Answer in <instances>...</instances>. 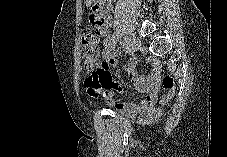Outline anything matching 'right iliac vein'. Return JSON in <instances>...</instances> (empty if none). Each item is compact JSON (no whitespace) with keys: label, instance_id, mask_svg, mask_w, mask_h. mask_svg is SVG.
Listing matches in <instances>:
<instances>
[{"label":"right iliac vein","instance_id":"obj_1","mask_svg":"<svg viewBox=\"0 0 227 157\" xmlns=\"http://www.w3.org/2000/svg\"><path fill=\"white\" fill-rule=\"evenodd\" d=\"M127 41H128V46H126V49L128 47L131 49V51H136L141 45L139 39L136 37L127 38Z\"/></svg>","mask_w":227,"mask_h":157}]
</instances>
